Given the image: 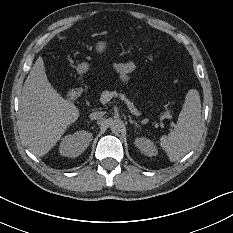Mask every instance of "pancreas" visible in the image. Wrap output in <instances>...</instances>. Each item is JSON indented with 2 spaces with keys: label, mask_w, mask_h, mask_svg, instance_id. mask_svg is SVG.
Listing matches in <instances>:
<instances>
[{
  "label": "pancreas",
  "mask_w": 233,
  "mask_h": 233,
  "mask_svg": "<svg viewBox=\"0 0 233 233\" xmlns=\"http://www.w3.org/2000/svg\"><path fill=\"white\" fill-rule=\"evenodd\" d=\"M165 114L171 116V115H172V111H170V110H169V111H166Z\"/></svg>",
  "instance_id": "1"
}]
</instances>
